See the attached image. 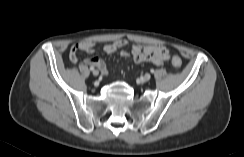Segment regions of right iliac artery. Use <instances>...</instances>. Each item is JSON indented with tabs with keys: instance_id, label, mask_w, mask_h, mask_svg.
Segmentation results:
<instances>
[{
	"instance_id": "82829eb1",
	"label": "right iliac artery",
	"mask_w": 244,
	"mask_h": 157,
	"mask_svg": "<svg viewBox=\"0 0 244 157\" xmlns=\"http://www.w3.org/2000/svg\"><path fill=\"white\" fill-rule=\"evenodd\" d=\"M90 70H91V71H94V70H95V68H94V67H90Z\"/></svg>"
}]
</instances>
